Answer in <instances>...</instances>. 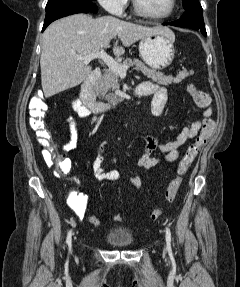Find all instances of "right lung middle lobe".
Here are the masks:
<instances>
[{
  "label": "right lung middle lobe",
  "instance_id": "dd1d6c3e",
  "mask_svg": "<svg viewBox=\"0 0 240 287\" xmlns=\"http://www.w3.org/2000/svg\"><path fill=\"white\" fill-rule=\"evenodd\" d=\"M65 1H80V0H48L46 7L56 4V3L65 2Z\"/></svg>",
  "mask_w": 240,
  "mask_h": 287
}]
</instances>
